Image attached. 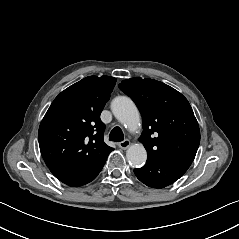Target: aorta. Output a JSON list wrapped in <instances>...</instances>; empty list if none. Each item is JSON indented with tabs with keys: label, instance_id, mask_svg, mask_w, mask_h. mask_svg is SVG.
I'll return each instance as SVG.
<instances>
[{
	"label": "aorta",
	"instance_id": "762f6f07",
	"mask_svg": "<svg viewBox=\"0 0 239 239\" xmlns=\"http://www.w3.org/2000/svg\"><path fill=\"white\" fill-rule=\"evenodd\" d=\"M116 119L127 126L129 131H135L140 125V114L134 102L125 96L115 98L111 104ZM128 161L135 166L143 164L147 159V151L142 144L131 145L126 151Z\"/></svg>",
	"mask_w": 239,
	"mask_h": 239
}]
</instances>
